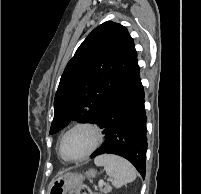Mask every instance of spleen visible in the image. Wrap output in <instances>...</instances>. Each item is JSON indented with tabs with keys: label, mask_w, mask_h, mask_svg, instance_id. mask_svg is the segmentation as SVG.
<instances>
[{
	"label": "spleen",
	"mask_w": 201,
	"mask_h": 194,
	"mask_svg": "<svg viewBox=\"0 0 201 194\" xmlns=\"http://www.w3.org/2000/svg\"><path fill=\"white\" fill-rule=\"evenodd\" d=\"M94 163L103 166L107 175L112 178V185L120 188L136 179V170L133 165L116 155L104 154L96 157Z\"/></svg>",
	"instance_id": "obj_1"
}]
</instances>
